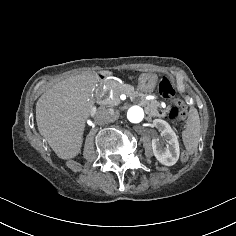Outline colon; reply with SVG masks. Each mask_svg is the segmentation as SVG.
<instances>
[{"mask_svg":"<svg viewBox=\"0 0 236 236\" xmlns=\"http://www.w3.org/2000/svg\"><path fill=\"white\" fill-rule=\"evenodd\" d=\"M159 92L163 98L174 101V106L170 111L169 119L171 122H178L185 116L186 107L183 102L175 99V89L171 77L165 76L161 80Z\"/></svg>","mask_w":236,"mask_h":236,"instance_id":"5ec220e1","label":"colon"}]
</instances>
